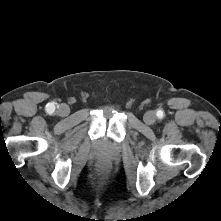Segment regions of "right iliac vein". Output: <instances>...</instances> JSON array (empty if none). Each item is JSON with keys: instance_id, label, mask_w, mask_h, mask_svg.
<instances>
[{"instance_id": "1", "label": "right iliac vein", "mask_w": 221, "mask_h": 221, "mask_svg": "<svg viewBox=\"0 0 221 221\" xmlns=\"http://www.w3.org/2000/svg\"><path fill=\"white\" fill-rule=\"evenodd\" d=\"M69 113H70V109H69L68 105H66V104H61V105L59 106V108H58V114H59V116H61V117H66V116L69 115Z\"/></svg>"}]
</instances>
